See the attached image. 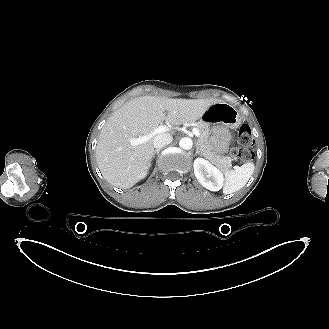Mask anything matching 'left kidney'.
Wrapping results in <instances>:
<instances>
[{
  "label": "left kidney",
  "mask_w": 329,
  "mask_h": 329,
  "mask_svg": "<svg viewBox=\"0 0 329 329\" xmlns=\"http://www.w3.org/2000/svg\"><path fill=\"white\" fill-rule=\"evenodd\" d=\"M194 173L202 186L210 191H219L224 183L221 170L203 158L194 160Z\"/></svg>",
  "instance_id": "5707ae66"
}]
</instances>
